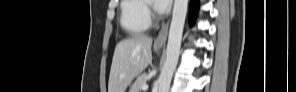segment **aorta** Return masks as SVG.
<instances>
[{"label":"aorta","mask_w":296,"mask_h":92,"mask_svg":"<svg viewBox=\"0 0 296 92\" xmlns=\"http://www.w3.org/2000/svg\"><path fill=\"white\" fill-rule=\"evenodd\" d=\"M188 0H174L169 30L166 61L159 76V92H169L170 83L179 58Z\"/></svg>","instance_id":"762f6f07"}]
</instances>
